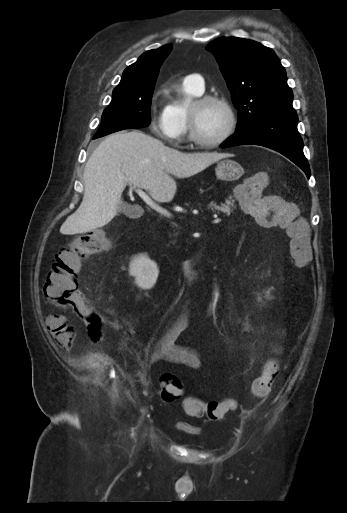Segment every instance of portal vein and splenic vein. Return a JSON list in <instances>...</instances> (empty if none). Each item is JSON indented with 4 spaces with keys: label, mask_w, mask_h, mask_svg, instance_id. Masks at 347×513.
Returning <instances> with one entry per match:
<instances>
[{
    "label": "portal vein and splenic vein",
    "mask_w": 347,
    "mask_h": 513,
    "mask_svg": "<svg viewBox=\"0 0 347 513\" xmlns=\"http://www.w3.org/2000/svg\"><path fill=\"white\" fill-rule=\"evenodd\" d=\"M132 189H134L138 195L143 199V201L149 205L152 209L156 210L157 212L161 213L162 215L170 218L171 217V213L168 212L166 209H163L162 207L158 206L142 189H140L139 187H132ZM221 222V219L220 218H215L213 220V223H220Z\"/></svg>",
    "instance_id": "1"
}]
</instances>
